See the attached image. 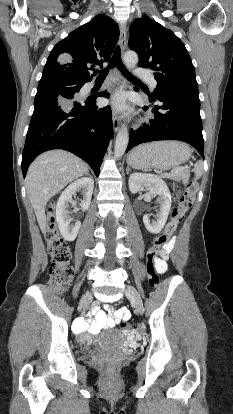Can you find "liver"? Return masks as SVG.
Listing matches in <instances>:
<instances>
[{
  "mask_svg": "<svg viewBox=\"0 0 233 414\" xmlns=\"http://www.w3.org/2000/svg\"><path fill=\"white\" fill-rule=\"evenodd\" d=\"M87 171L88 166L82 159L64 150L45 152L29 166L25 186L42 232L46 229L48 201Z\"/></svg>",
  "mask_w": 233,
  "mask_h": 414,
  "instance_id": "obj_1",
  "label": "liver"
}]
</instances>
